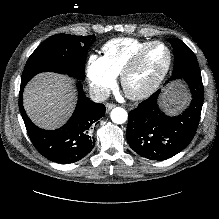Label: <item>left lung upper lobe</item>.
<instances>
[{"mask_svg": "<svg viewBox=\"0 0 219 219\" xmlns=\"http://www.w3.org/2000/svg\"><path fill=\"white\" fill-rule=\"evenodd\" d=\"M174 50L173 76L193 71L200 72L196 56L191 49L179 39H168Z\"/></svg>", "mask_w": 219, "mask_h": 219, "instance_id": "1", "label": "left lung upper lobe"}]
</instances>
